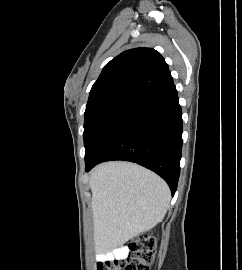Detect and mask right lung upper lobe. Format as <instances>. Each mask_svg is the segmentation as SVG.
Wrapping results in <instances>:
<instances>
[{
    "instance_id": "obj_1",
    "label": "right lung upper lobe",
    "mask_w": 242,
    "mask_h": 270,
    "mask_svg": "<svg viewBox=\"0 0 242 270\" xmlns=\"http://www.w3.org/2000/svg\"><path fill=\"white\" fill-rule=\"evenodd\" d=\"M172 84L168 65L156 50H127L103 68L92 86L86 110L117 101L138 104Z\"/></svg>"
}]
</instances>
